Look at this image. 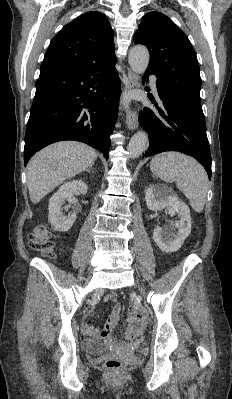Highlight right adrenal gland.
Returning a JSON list of instances; mask_svg holds the SVG:
<instances>
[{
	"label": "right adrenal gland",
	"instance_id": "1",
	"mask_svg": "<svg viewBox=\"0 0 232 399\" xmlns=\"http://www.w3.org/2000/svg\"><path fill=\"white\" fill-rule=\"evenodd\" d=\"M92 166H93V164H90L89 168H86V170H84V172H88V174H91Z\"/></svg>",
	"mask_w": 232,
	"mask_h": 399
}]
</instances>
